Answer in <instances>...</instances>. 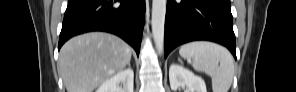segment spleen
Returning <instances> with one entry per match:
<instances>
[{
  "label": "spleen",
  "mask_w": 296,
  "mask_h": 92,
  "mask_svg": "<svg viewBox=\"0 0 296 92\" xmlns=\"http://www.w3.org/2000/svg\"><path fill=\"white\" fill-rule=\"evenodd\" d=\"M179 54L192 60L195 70L212 78L213 92H228L233 81L234 64L227 49L215 43L195 41L182 45Z\"/></svg>",
  "instance_id": "3e777b00"
}]
</instances>
